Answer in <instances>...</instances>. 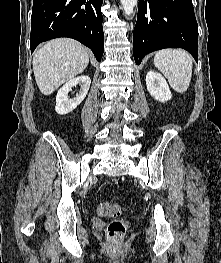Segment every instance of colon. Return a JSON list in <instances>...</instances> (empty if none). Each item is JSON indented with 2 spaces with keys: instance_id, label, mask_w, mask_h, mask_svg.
<instances>
[{
  "instance_id": "colon-1",
  "label": "colon",
  "mask_w": 221,
  "mask_h": 263,
  "mask_svg": "<svg viewBox=\"0 0 221 263\" xmlns=\"http://www.w3.org/2000/svg\"><path fill=\"white\" fill-rule=\"evenodd\" d=\"M121 212L122 208L118 204L102 202L97 206V214L101 217H116ZM127 228L128 222L126 220H113L107 227V236L112 242L118 243L125 235Z\"/></svg>"
}]
</instances>
